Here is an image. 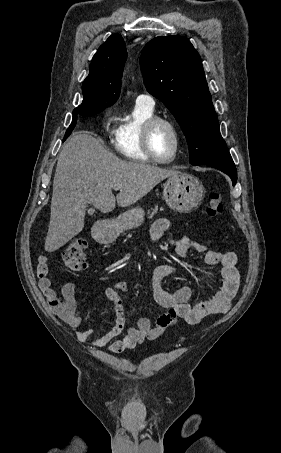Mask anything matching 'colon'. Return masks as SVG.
Masks as SVG:
<instances>
[{
    "instance_id": "colon-1",
    "label": "colon",
    "mask_w": 281,
    "mask_h": 453,
    "mask_svg": "<svg viewBox=\"0 0 281 453\" xmlns=\"http://www.w3.org/2000/svg\"><path fill=\"white\" fill-rule=\"evenodd\" d=\"M208 213L211 217L217 218L224 206V199L220 193H212L207 197ZM87 242L84 238H73L67 245V250L63 254L64 262H86L88 253L86 250Z\"/></svg>"
}]
</instances>
